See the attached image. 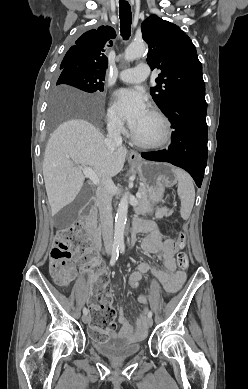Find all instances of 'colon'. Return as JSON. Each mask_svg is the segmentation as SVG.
Segmentation results:
<instances>
[{
  "label": "colon",
  "instance_id": "5ec220e1",
  "mask_svg": "<svg viewBox=\"0 0 248 389\" xmlns=\"http://www.w3.org/2000/svg\"><path fill=\"white\" fill-rule=\"evenodd\" d=\"M177 242L179 245L184 244V233L178 235ZM87 258H92V254L81 226L73 225L56 232L50 252L49 271L58 285L66 286L74 276L75 269L71 261H82ZM177 264L182 271L188 268L189 258L186 252L181 251L177 254ZM110 279V273L97 269L94 278V294L90 298L92 305L88 306V311L93 312V320L91 326L85 327V332L90 333L96 339L97 344H106L107 332L115 328V310L109 298L112 290L103 287ZM139 283V277H132L128 282V287L136 291ZM151 295L143 291L136 293V296L144 301H147Z\"/></svg>",
  "mask_w": 248,
  "mask_h": 389
}]
</instances>
